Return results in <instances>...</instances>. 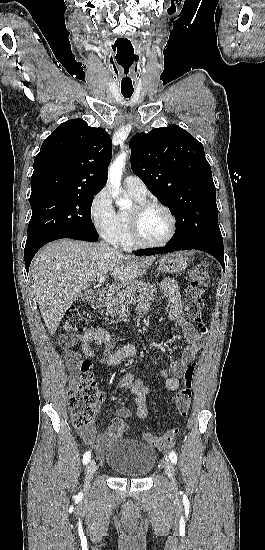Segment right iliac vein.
Listing matches in <instances>:
<instances>
[{
	"instance_id": "1",
	"label": "right iliac vein",
	"mask_w": 265,
	"mask_h": 550,
	"mask_svg": "<svg viewBox=\"0 0 265 550\" xmlns=\"http://www.w3.org/2000/svg\"><path fill=\"white\" fill-rule=\"evenodd\" d=\"M97 467H96V463L95 461L91 460L88 465H87V468H86V477L88 480H91L93 478V475L96 471Z\"/></svg>"
}]
</instances>
